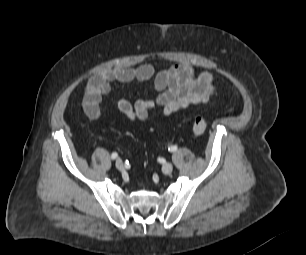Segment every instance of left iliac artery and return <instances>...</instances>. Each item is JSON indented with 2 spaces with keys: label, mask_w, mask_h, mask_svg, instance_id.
I'll return each mask as SVG.
<instances>
[{
  "label": "left iliac artery",
  "mask_w": 306,
  "mask_h": 255,
  "mask_svg": "<svg viewBox=\"0 0 306 255\" xmlns=\"http://www.w3.org/2000/svg\"><path fill=\"white\" fill-rule=\"evenodd\" d=\"M170 152H174L177 150V145H172L171 147H169L168 149Z\"/></svg>",
  "instance_id": "left-iliac-artery-1"
}]
</instances>
